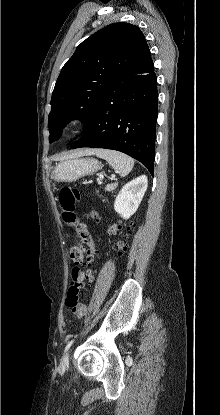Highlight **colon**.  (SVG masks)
<instances>
[{
  "label": "colon",
  "mask_w": 220,
  "mask_h": 415,
  "mask_svg": "<svg viewBox=\"0 0 220 415\" xmlns=\"http://www.w3.org/2000/svg\"><path fill=\"white\" fill-rule=\"evenodd\" d=\"M80 194L75 188H64L59 195V201L62 206V218L66 224L72 227L79 240L70 246L69 257L76 264H82L85 260V279L92 281L91 266L94 261V242L86 227L76 220L75 203L79 200ZM91 216L99 219V214L93 212ZM118 226L113 225L109 228L110 233H114ZM125 246L124 241L117 243V250ZM84 287V282L80 275L79 268L76 266L72 270V281L68 289L66 304L69 308H75L79 313L85 314L87 307L80 300V292Z\"/></svg>",
  "instance_id": "5ec220e1"
}]
</instances>
